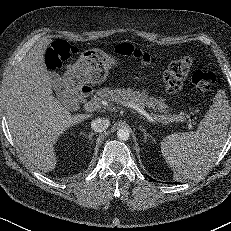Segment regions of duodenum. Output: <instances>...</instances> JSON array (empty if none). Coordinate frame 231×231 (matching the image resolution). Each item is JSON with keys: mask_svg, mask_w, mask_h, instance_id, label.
<instances>
[{"mask_svg": "<svg viewBox=\"0 0 231 231\" xmlns=\"http://www.w3.org/2000/svg\"><path fill=\"white\" fill-rule=\"evenodd\" d=\"M92 94V88L87 84H75L71 79L64 80V102L71 107H78Z\"/></svg>", "mask_w": 231, "mask_h": 231, "instance_id": "410a0bca", "label": "duodenum"}]
</instances>
